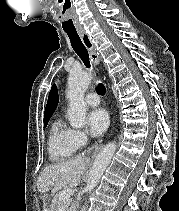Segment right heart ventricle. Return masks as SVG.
<instances>
[{"label": "right heart ventricle", "instance_id": "right-heart-ventricle-1", "mask_svg": "<svg viewBox=\"0 0 179 211\" xmlns=\"http://www.w3.org/2000/svg\"><path fill=\"white\" fill-rule=\"evenodd\" d=\"M77 147L72 140V129L61 119L56 118L50 128L48 152L52 161H64L74 155Z\"/></svg>", "mask_w": 179, "mask_h": 211}]
</instances>
